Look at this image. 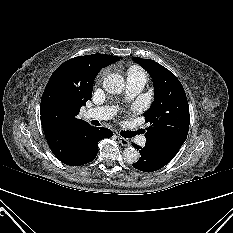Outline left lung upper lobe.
I'll list each match as a JSON object with an SVG mask.
<instances>
[{
  "instance_id": "obj_1",
  "label": "left lung upper lobe",
  "mask_w": 233,
  "mask_h": 233,
  "mask_svg": "<svg viewBox=\"0 0 233 233\" xmlns=\"http://www.w3.org/2000/svg\"><path fill=\"white\" fill-rule=\"evenodd\" d=\"M133 60L152 77L154 102L145 112L151 125L145 133L146 144L173 158L188 134L190 115L187 97L178 78L159 63L140 57Z\"/></svg>"
}]
</instances>
